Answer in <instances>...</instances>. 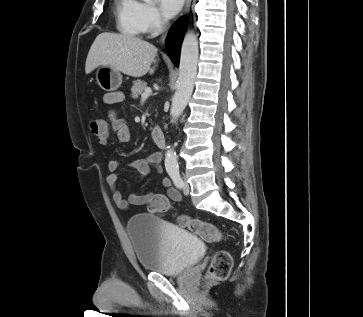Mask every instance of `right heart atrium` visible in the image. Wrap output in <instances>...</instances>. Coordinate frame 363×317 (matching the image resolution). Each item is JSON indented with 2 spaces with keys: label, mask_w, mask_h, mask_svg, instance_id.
<instances>
[{
  "label": "right heart atrium",
  "mask_w": 363,
  "mask_h": 317,
  "mask_svg": "<svg viewBox=\"0 0 363 317\" xmlns=\"http://www.w3.org/2000/svg\"><path fill=\"white\" fill-rule=\"evenodd\" d=\"M142 31L149 35L159 33L166 26V19L157 7L150 4H141Z\"/></svg>",
  "instance_id": "1"
}]
</instances>
